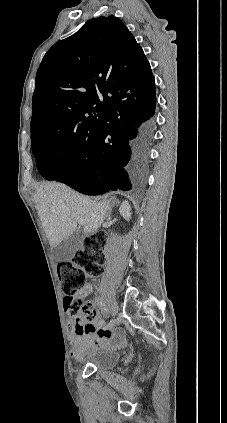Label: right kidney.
<instances>
[{
  "instance_id": "obj_1",
  "label": "right kidney",
  "mask_w": 227,
  "mask_h": 423,
  "mask_svg": "<svg viewBox=\"0 0 227 423\" xmlns=\"http://www.w3.org/2000/svg\"><path fill=\"white\" fill-rule=\"evenodd\" d=\"M119 211L120 215H123L124 219H127V221L131 219V208L129 202H123L119 208Z\"/></svg>"
}]
</instances>
